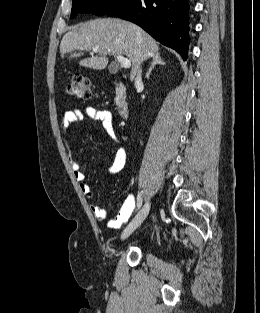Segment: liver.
I'll return each instance as SVG.
<instances>
[{
    "label": "liver",
    "mask_w": 260,
    "mask_h": 313,
    "mask_svg": "<svg viewBox=\"0 0 260 313\" xmlns=\"http://www.w3.org/2000/svg\"><path fill=\"white\" fill-rule=\"evenodd\" d=\"M93 55L79 64L95 70L108 65L109 55H126L132 63L131 78L143 61L159 53L157 41L137 25L116 18H99L76 26L67 32L60 43L62 58L74 51H91Z\"/></svg>",
    "instance_id": "liver-1"
}]
</instances>
